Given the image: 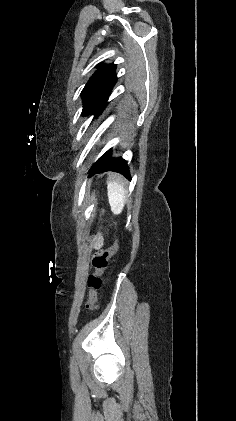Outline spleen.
<instances>
[{
  "label": "spleen",
  "instance_id": "3e777b00",
  "mask_svg": "<svg viewBox=\"0 0 236 421\" xmlns=\"http://www.w3.org/2000/svg\"><path fill=\"white\" fill-rule=\"evenodd\" d=\"M107 194L112 213H114V215H120L126 200V190L123 184H119V182H115V180L114 182H108Z\"/></svg>",
  "mask_w": 236,
  "mask_h": 421
}]
</instances>
